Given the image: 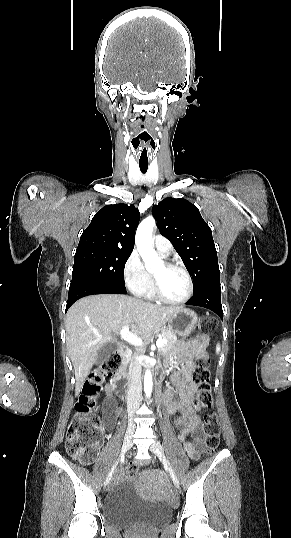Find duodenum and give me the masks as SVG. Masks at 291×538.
I'll return each instance as SVG.
<instances>
[{
  "mask_svg": "<svg viewBox=\"0 0 291 538\" xmlns=\"http://www.w3.org/2000/svg\"><path fill=\"white\" fill-rule=\"evenodd\" d=\"M119 353L121 357L125 360L127 359L129 355V349L127 347H122L119 349ZM127 372H128V369L122 366L121 371L116 372L114 374V377L112 378V381L115 383V388H114L115 394L119 398H123L130 394L129 387L131 386V383L127 380L122 379L123 374H126ZM151 377H154L153 386L155 388L162 387V382H166L165 373L157 372L156 374H151Z\"/></svg>",
  "mask_w": 291,
  "mask_h": 538,
  "instance_id": "obj_1",
  "label": "duodenum"
}]
</instances>
